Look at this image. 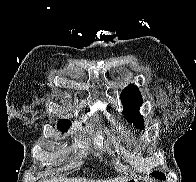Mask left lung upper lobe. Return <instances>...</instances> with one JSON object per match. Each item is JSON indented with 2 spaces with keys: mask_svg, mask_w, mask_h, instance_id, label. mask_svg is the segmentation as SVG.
I'll use <instances>...</instances> for the list:
<instances>
[{
  "mask_svg": "<svg viewBox=\"0 0 196 182\" xmlns=\"http://www.w3.org/2000/svg\"><path fill=\"white\" fill-rule=\"evenodd\" d=\"M121 102L125 118L130 123H134L137 128L142 129L144 127L143 116L139 114L142 97L138 88L134 85L126 87L121 94ZM152 175L160 179H165V175L162 172H154Z\"/></svg>",
  "mask_w": 196,
  "mask_h": 182,
  "instance_id": "1",
  "label": "left lung upper lobe"
}]
</instances>
